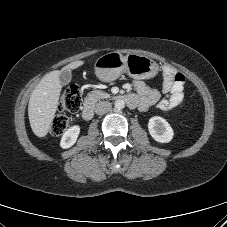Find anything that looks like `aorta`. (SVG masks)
<instances>
[{
	"label": "aorta",
	"mask_w": 227,
	"mask_h": 227,
	"mask_svg": "<svg viewBox=\"0 0 227 227\" xmlns=\"http://www.w3.org/2000/svg\"><path fill=\"white\" fill-rule=\"evenodd\" d=\"M114 107L117 110H121L125 107V102L122 99H117L114 103Z\"/></svg>",
	"instance_id": "obj_1"
}]
</instances>
